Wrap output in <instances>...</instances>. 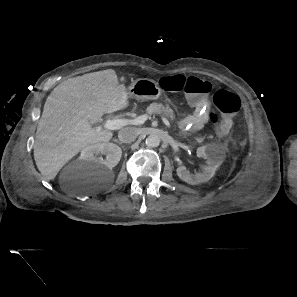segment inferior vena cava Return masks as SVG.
<instances>
[{"label":"inferior vena cava","instance_id":"602c4592","mask_svg":"<svg viewBox=\"0 0 297 297\" xmlns=\"http://www.w3.org/2000/svg\"><path fill=\"white\" fill-rule=\"evenodd\" d=\"M138 135L139 132L136 128L126 127L118 132V139L122 143H131L138 137Z\"/></svg>","mask_w":297,"mask_h":297}]
</instances>
